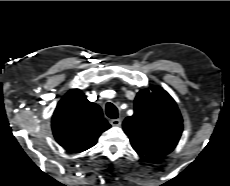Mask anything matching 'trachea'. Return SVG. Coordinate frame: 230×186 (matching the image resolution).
Masks as SVG:
<instances>
[{
	"label": "trachea",
	"mask_w": 230,
	"mask_h": 186,
	"mask_svg": "<svg viewBox=\"0 0 230 186\" xmlns=\"http://www.w3.org/2000/svg\"><path fill=\"white\" fill-rule=\"evenodd\" d=\"M106 114L111 119H116L118 117V111L114 104L107 103L106 104Z\"/></svg>",
	"instance_id": "trachea-1"
}]
</instances>
